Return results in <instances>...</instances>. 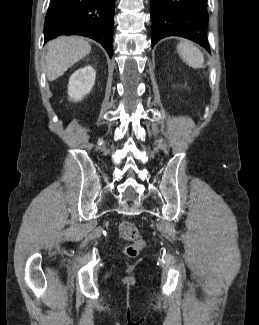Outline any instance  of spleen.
I'll use <instances>...</instances> for the list:
<instances>
[{
    "mask_svg": "<svg viewBox=\"0 0 259 325\" xmlns=\"http://www.w3.org/2000/svg\"><path fill=\"white\" fill-rule=\"evenodd\" d=\"M177 50L181 59L193 68L204 67L203 53L192 43L184 41L178 44Z\"/></svg>",
    "mask_w": 259,
    "mask_h": 325,
    "instance_id": "spleen-1",
    "label": "spleen"
}]
</instances>
